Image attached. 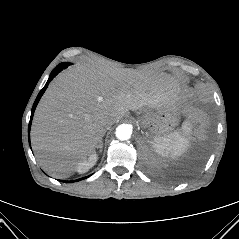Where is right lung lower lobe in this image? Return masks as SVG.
Masks as SVG:
<instances>
[{
  "mask_svg": "<svg viewBox=\"0 0 239 239\" xmlns=\"http://www.w3.org/2000/svg\"><path fill=\"white\" fill-rule=\"evenodd\" d=\"M56 68V67H55ZM53 69V71L51 72L50 76H49V79L47 81V83L45 84V86L43 87V89L39 92L34 104H33V107H32V111H31V117H30V122H29V129H28V133L30 132V127H31V122H32V118H33V114H34V111H35V108L41 98V96L43 95V93L45 92L46 88L48 87V84L49 82L60 72L59 70L57 69ZM29 137V141H30V135L28 136ZM84 178H87V177H84ZM84 178H81V179H77L75 180L74 182L76 181H79V180H82Z\"/></svg>",
  "mask_w": 239,
  "mask_h": 239,
  "instance_id": "obj_1",
  "label": "right lung lower lobe"
}]
</instances>
